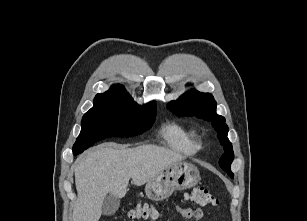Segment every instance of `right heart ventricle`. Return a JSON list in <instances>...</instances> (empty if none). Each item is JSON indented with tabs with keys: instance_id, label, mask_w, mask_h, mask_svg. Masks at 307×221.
<instances>
[{
	"instance_id": "right-heart-ventricle-1",
	"label": "right heart ventricle",
	"mask_w": 307,
	"mask_h": 221,
	"mask_svg": "<svg viewBox=\"0 0 307 221\" xmlns=\"http://www.w3.org/2000/svg\"><path fill=\"white\" fill-rule=\"evenodd\" d=\"M165 144L172 150L184 155H194L201 148L196 130L179 122H170L161 130Z\"/></svg>"
}]
</instances>
